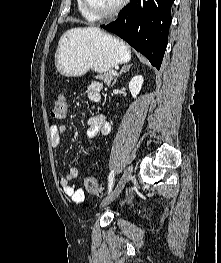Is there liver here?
I'll use <instances>...</instances> for the list:
<instances>
[{
	"mask_svg": "<svg viewBox=\"0 0 221 263\" xmlns=\"http://www.w3.org/2000/svg\"><path fill=\"white\" fill-rule=\"evenodd\" d=\"M85 29H88L89 31H97V30H99V29L94 28V27H89V28H85Z\"/></svg>",
	"mask_w": 221,
	"mask_h": 263,
	"instance_id": "1",
	"label": "liver"
}]
</instances>
